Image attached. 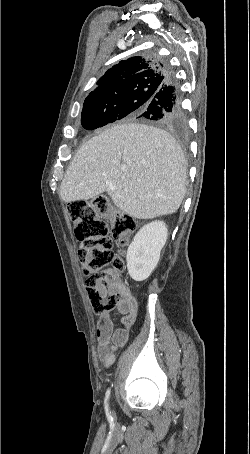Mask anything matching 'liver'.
Instances as JSON below:
<instances>
[{
  "label": "liver",
  "instance_id": "6515ba94",
  "mask_svg": "<svg viewBox=\"0 0 250 454\" xmlns=\"http://www.w3.org/2000/svg\"><path fill=\"white\" fill-rule=\"evenodd\" d=\"M185 158L166 131L139 123L115 125L77 151L61 183L64 202L107 192L138 219L175 213L186 193Z\"/></svg>",
  "mask_w": 250,
  "mask_h": 454
}]
</instances>
